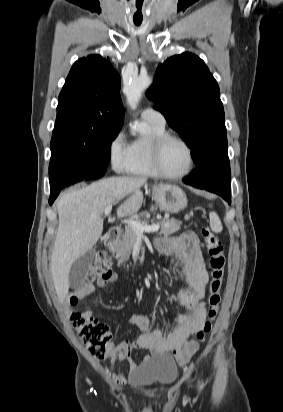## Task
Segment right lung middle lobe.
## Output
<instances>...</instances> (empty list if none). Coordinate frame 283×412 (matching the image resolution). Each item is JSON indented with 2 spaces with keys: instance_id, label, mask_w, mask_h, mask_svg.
Instances as JSON below:
<instances>
[{
  "instance_id": "obj_1",
  "label": "right lung middle lobe",
  "mask_w": 283,
  "mask_h": 412,
  "mask_svg": "<svg viewBox=\"0 0 283 412\" xmlns=\"http://www.w3.org/2000/svg\"><path fill=\"white\" fill-rule=\"evenodd\" d=\"M119 131H98L73 117L56 119L52 134L49 175L108 165L111 143Z\"/></svg>"
}]
</instances>
